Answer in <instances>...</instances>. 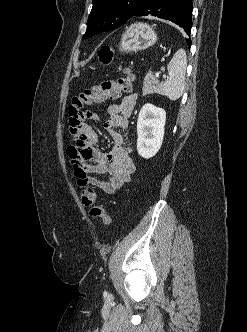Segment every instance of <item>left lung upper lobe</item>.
<instances>
[{
  "label": "left lung upper lobe",
  "instance_id": "1",
  "mask_svg": "<svg viewBox=\"0 0 247 332\" xmlns=\"http://www.w3.org/2000/svg\"><path fill=\"white\" fill-rule=\"evenodd\" d=\"M146 0H93L83 38L123 26Z\"/></svg>",
  "mask_w": 247,
  "mask_h": 332
}]
</instances>
